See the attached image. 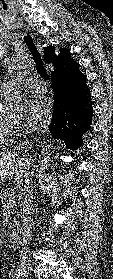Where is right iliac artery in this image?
<instances>
[{"instance_id": "obj_1", "label": "right iliac artery", "mask_w": 113, "mask_h": 279, "mask_svg": "<svg viewBox=\"0 0 113 279\" xmlns=\"http://www.w3.org/2000/svg\"><path fill=\"white\" fill-rule=\"evenodd\" d=\"M21 271L19 269L13 270L10 275L13 277V279H18L21 276Z\"/></svg>"}]
</instances>
